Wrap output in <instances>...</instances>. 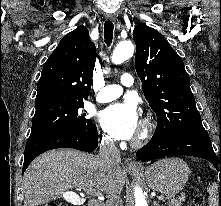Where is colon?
Listing matches in <instances>:
<instances>
[{
	"mask_svg": "<svg viewBox=\"0 0 221 206\" xmlns=\"http://www.w3.org/2000/svg\"><path fill=\"white\" fill-rule=\"evenodd\" d=\"M204 202H205L204 197L201 194L194 195L195 206H204ZM45 206H58V205L54 202H49Z\"/></svg>",
	"mask_w": 221,
	"mask_h": 206,
	"instance_id": "obj_1",
	"label": "colon"
}]
</instances>
